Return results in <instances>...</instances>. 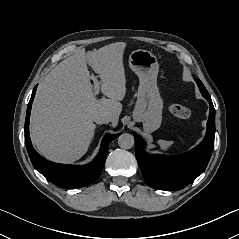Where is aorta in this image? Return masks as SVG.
I'll use <instances>...</instances> for the list:
<instances>
[{"label":"aorta","instance_id":"obj_1","mask_svg":"<svg viewBox=\"0 0 239 239\" xmlns=\"http://www.w3.org/2000/svg\"><path fill=\"white\" fill-rule=\"evenodd\" d=\"M118 145L122 149H130L134 146V137L129 133H123L118 137Z\"/></svg>","mask_w":239,"mask_h":239}]
</instances>
